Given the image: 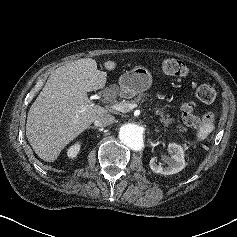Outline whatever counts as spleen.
I'll return each mask as SVG.
<instances>
[{
	"label": "spleen",
	"instance_id": "3e777b00",
	"mask_svg": "<svg viewBox=\"0 0 237 237\" xmlns=\"http://www.w3.org/2000/svg\"><path fill=\"white\" fill-rule=\"evenodd\" d=\"M215 130V125L213 122H206L204 123L199 131L196 134L198 141H204L210 133H212Z\"/></svg>",
	"mask_w": 237,
	"mask_h": 237
}]
</instances>
